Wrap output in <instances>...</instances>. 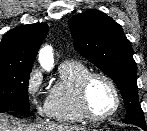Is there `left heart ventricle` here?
I'll return each instance as SVG.
<instances>
[{"instance_id":"left-heart-ventricle-1","label":"left heart ventricle","mask_w":147,"mask_h":131,"mask_svg":"<svg viewBox=\"0 0 147 131\" xmlns=\"http://www.w3.org/2000/svg\"><path fill=\"white\" fill-rule=\"evenodd\" d=\"M89 107L93 114L104 115L115 105V96L110 85L101 78L94 79L88 90Z\"/></svg>"}]
</instances>
